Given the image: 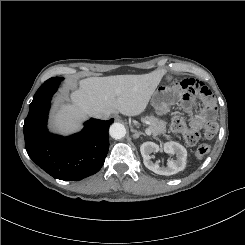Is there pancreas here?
<instances>
[{
  "label": "pancreas",
  "instance_id": "obj_1",
  "mask_svg": "<svg viewBox=\"0 0 245 245\" xmlns=\"http://www.w3.org/2000/svg\"><path fill=\"white\" fill-rule=\"evenodd\" d=\"M142 121L148 124V128L154 137L163 135L166 136L167 139H170V137L166 135V123L163 120L154 116H146L142 118Z\"/></svg>",
  "mask_w": 245,
  "mask_h": 245
}]
</instances>
